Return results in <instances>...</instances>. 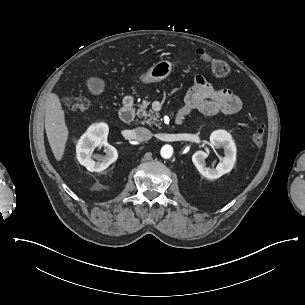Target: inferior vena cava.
Listing matches in <instances>:
<instances>
[{"label": "inferior vena cava", "mask_w": 305, "mask_h": 305, "mask_svg": "<svg viewBox=\"0 0 305 305\" xmlns=\"http://www.w3.org/2000/svg\"><path fill=\"white\" fill-rule=\"evenodd\" d=\"M133 137L137 141H147L152 137L150 130L144 127H137L132 131Z\"/></svg>", "instance_id": "1"}]
</instances>
